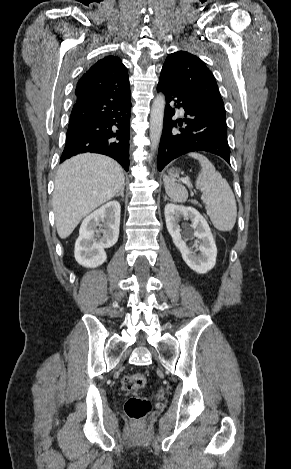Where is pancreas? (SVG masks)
Here are the masks:
<instances>
[{"label":"pancreas","mask_w":291,"mask_h":469,"mask_svg":"<svg viewBox=\"0 0 291 469\" xmlns=\"http://www.w3.org/2000/svg\"><path fill=\"white\" fill-rule=\"evenodd\" d=\"M193 204H198V202L196 200H192L191 201Z\"/></svg>","instance_id":"obj_1"}]
</instances>
